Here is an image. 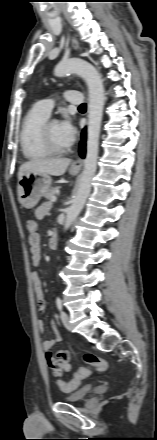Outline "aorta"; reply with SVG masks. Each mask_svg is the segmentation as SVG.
<instances>
[{
	"instance_id": "obj_1",
	"label": "aorta",
	"mask_w": 157,
	"mask_h": 440,
	"mask_svg": "<svg viewBox=\"0 0 157 440\" xmlns=\"http://www.w3.org/2000/svg\"><path fill=\"white\" fill-rule=\"evenodd\" d=\"M67 73H75L86 81L89 91V103L87 153L84 169L72 205L67 209L64 224L65 230L69 229L81 212L91 190L92 179L97 166L98 143L104 105L102 79L98 71L90 63L81 59H72L58 64L54 69V74L58 77H62Z\"/></svg>"
}]
</instances>
